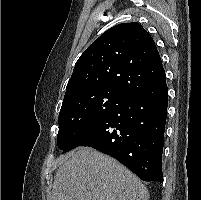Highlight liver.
I'll return each instance as SVG.
<instances>
[{
  "instance_id": "liver-1",
  "label": "liver",
  "mask_w": 201,
  "mask_h": 200,
  "mask_svg": "<svg viewBox=\"0 0 201 200\" xmlns=\"http://www.w3.org/2000/svg\"><path fill=\"white\" fill-rule=\"evenodd\" d=\"M143 183L114 158L90 147L66 155L51 200H148Z\"/></svg>"
}]
</instances>
